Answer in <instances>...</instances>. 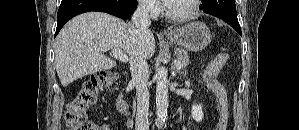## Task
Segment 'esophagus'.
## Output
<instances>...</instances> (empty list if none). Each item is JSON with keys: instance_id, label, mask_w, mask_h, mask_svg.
I'll return each mask as SVG.
<instances>
[{"instance_id": "34e87169", "label": "esophagus", "mask_w": 299, "mask_h": 130, "mask_svg": "<svg viewBox=\"0 0 299 130\" xmlns=\"http://www.w3.org/2000/svg\"><path fill=\"white\" fill-rule=\"evenodd\" d=\"M164 33H166V34L172 33V29L170 27L165 28Z\"/></svg>"}]
</instances>
